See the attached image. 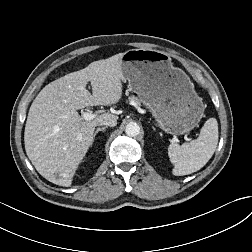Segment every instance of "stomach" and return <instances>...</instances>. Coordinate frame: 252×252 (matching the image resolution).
<instances>
[{"label": "stomach", "mask_w": 252, "mask_h": 252, "mask_svg": "<svg viewBox=\"0 0 252 252\" xmlns=\"http://www.w3.org/2000/svg\"><path fill=\"white\" fill-rule=\"evenodd\" d=\"M122 80L136 93L162 130L182 135L193 130L204 112L202 98L186 73L173 66L171 57L152 49L122 53Z\"/></svg>", "instance_id": "0dacf381"}]
</instances>
